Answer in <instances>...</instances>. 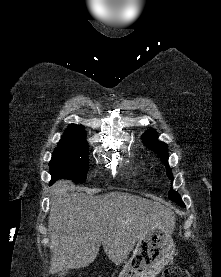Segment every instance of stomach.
<instances>
[{"label": "stomach", "mask_w": 221, "mask_h": 277, "mask_svg": "<svg viewBox=\"0 0 221 277\" xmlns=\"http://www.w3.org/2000/svg\"><path fill=\"white\" fill-rule=\"evenodd\" d=\"M174 223L171 227L174 229ZM172 231L156 226L140 238L133 255L123 267L119 277H156L173 259L175 243Z\"/></svg>", "instance_id": "0dacf381"}]
</instances>
